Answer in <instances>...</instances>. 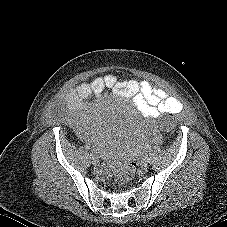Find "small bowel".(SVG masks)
I'll list each match as a JSON object with an SVG mask.
<instances>
[{
  "label": "small bowel",
  "mask_w": 227,
  "mask_h": 227,
  "mask_svg": "<svg viewBox=\"0 0 227 227\" xmlns=\"http://www.w3.org/2000/svg\"><path fill=\"white\" fill-rule=\"evenodd\" d=\"M107 94L122 98L134 99L150 119L166 114H177L182 110V103L166 91L147 80H120L113 74L94 78L91 82H83L69 91L64 98L66 120L75 128L78 136L91 143L96 150L101 144L98 139L89 140L88 112L92 100H98Z\"/></svg>",
  "instance_id": "small-bowel-1"
}]
</instances>
